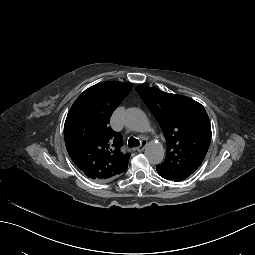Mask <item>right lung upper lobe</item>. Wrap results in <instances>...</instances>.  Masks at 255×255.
<instances>
[{
    "mask_svg": "<svg viewBox=\"0 0 255 255\" xmlns=\"http://www.w3.org/2000/svg\"><path fill=\"white\" fill-rule=\"evenodd\" d=\"M131 89L130 83H98L86 89L68 112L65 145L73 162L90 179L106 181L127 170L130 154L121 151V135L109 122Z\"/></svg>",
    "mask_w": 255,
    "mask_h": 255,
    "instance_id": "1",
    "label": "right lung upper lobe"
}]
</instances>
